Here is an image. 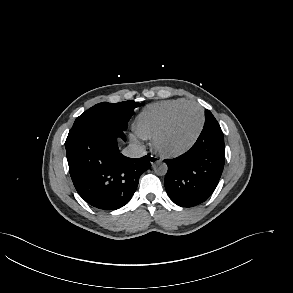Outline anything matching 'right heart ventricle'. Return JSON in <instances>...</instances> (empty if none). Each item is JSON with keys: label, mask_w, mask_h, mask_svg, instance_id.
Masks as SVG:
<instances>
[{"label": "right heart ventricle", "mask_w": 293, "mask_h": 293, "mask_svg": "<svg viewBox=\"0 0 293 293\" xmlns=\"http://www.w3.org/2000/svg\"><path fill=\"white\" fill-rule=\"evenodd\" d=\"M189 102L179 98L164 100L146 106L134 123L135 131L141 138H152L166 120L169 113L177 106Z\"/></svg>", "instance_id": "1"}]
</instances>
